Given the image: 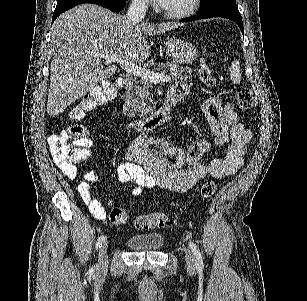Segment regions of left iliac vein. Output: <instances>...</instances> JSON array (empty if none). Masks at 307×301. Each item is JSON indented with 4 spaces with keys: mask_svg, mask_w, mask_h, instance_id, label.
Here are the masks:
<instances>
[{
    "mask_svg": "<svg viewBox=\"0 0 307 301\" xmlns=\"http://www.w3.org/2000/svg\"><path fill=\"white\" fill-rule=\"evenodd\" d=\"M185 261L188 267L194 266L193 255L189 250H186L185 252Z\"/></svg>",
    "mask_w": 307,
    "mask_h": 301,
    "instance_id": "left-iliac-vein-1",
    "label": "left iliac vein"
}]
</instances>
